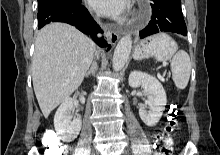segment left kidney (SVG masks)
<instances>
[{
	"label": "left kidney",
	"instance_id": "left-kidney-1",
	"mask_svg": "<svg viewBox=\"0 0 220 155\" xmlns=\"http://www.w3.org/2000/svg\"><path fill=\"white\" fill-rule=\"evenodd\" d=\"M132 88L142 87L147 95L145 106L139 109L141 120L150 127L155 126L163 115L167 103V97L162 84L154 77L145 72L132 71L128 79ZM149 107V111L146 110Z\"/></svg>",
	"mask_w": 220,
	"mask_h": 155
}]
</instances>
